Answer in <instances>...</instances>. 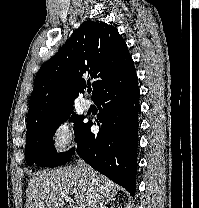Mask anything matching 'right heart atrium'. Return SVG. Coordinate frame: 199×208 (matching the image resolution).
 <instances>
[{
  "mask_svg": "<svg viewBox=\"0 0 199 208\" xmlns=\"http://www.w3.org/2000/svg\"><path fill=\"white\" fill-rule=\"evenodd\" d=\"M75 130L69 119L58 121L51 133V146L55 153L62 155L71 151L75 146Z\"/></svg>",
  "mask_w": 199,
  "mask_h": 208,
  "instance_id": "d8ad5b80",
  "label": "right heart atrium"
}]
</instances>
